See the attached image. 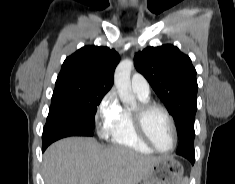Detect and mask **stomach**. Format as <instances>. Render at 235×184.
I'll list each match as a JSON object with an SVG mask.
<instances>
[{"label":"stomach","instance_id":"1","mask_svg":"<svg viewBox=\"0 0 235 184\" xmlns=\"http://www.w3.org/2000/svg\"><path fill=\"white\" fill-rule=\"evenodd\" d=\"M184 168L177 160H161L152 166L148 176L143 178L142 184H181Z\"/></svg>","mask_w":235,"mask_h":184}]
</instances>
